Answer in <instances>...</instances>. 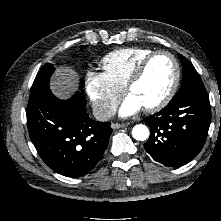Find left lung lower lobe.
I'll list each match as a JSON object with an SVG mask.
<instances>
[{
  "label": "left lung lower lobe",
  "instance_id": "1",
  "mask_svg": "<svg viewBox=\"0 0 221 221\" xmlns=\"http://www.w3.org/2000/svg\"><path fill=\"white\" fill-rule=\"evenodd\" d=\"M150 126L146 151L166 166L177 167L191 161L205 144L211 121L206 92L190 93L144 119Z\"/></svg>",
  "mask_w": 221,
  "mask_h": 221
}]
</instances>
